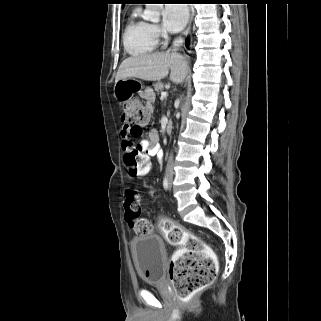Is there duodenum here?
Segmentation results:
<instances>
[{
  "label": "duodenum",
  "instance_id": "duodenum-1",
  "mask_svg": "<svg viewBox=\"0 0 321 321\" xmlns=\"http://www.w3.org/2000/svg\"><path fill=\"white\" fill-rule=\"evenodd\" d=\"M165 130H166V132L168 134L172 133V131H173V123H172V121L169 120V121L166 122Z\"/></svg>",
  "mask_w": 321,
  "mask_h": 321
}]
</instances>
